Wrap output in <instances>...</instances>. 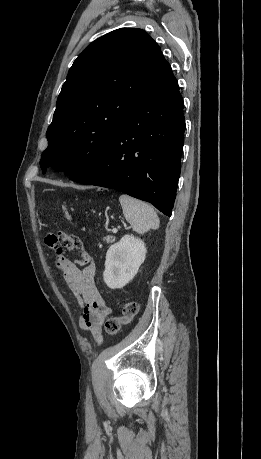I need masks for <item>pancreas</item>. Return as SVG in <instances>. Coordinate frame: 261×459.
Masks as SVG:
<instances>
[{
	"label": "pancreas",
	"mask_w": 261,
	"mask_h": 459,
	"mask_svg": "<svg viewBox=\"0 0 261 459\" xmlns=\"http://www.w3.org/2000/svg\"><path fill=\"white\" fill-rule=\"evenodd\" d=\"M115 237L114 236H111V235H108L106 237L103 238V241L106 242V243H112L115 241Z\"/></svg>",
	"instance_id": "pancreas-1"
}]
</instances>
